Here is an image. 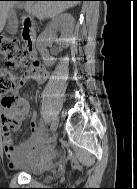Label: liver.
<instances>
[{"label": "liver", "mask_w": 137, "mask_h": 189, "mask_svg": "<svg viewBox=\"0 0 137 189\" xmlns=\"http://www.w3.org/2000/svg\"><path fill=\"white\" fill-rule=\"evenodd\" d=\"M77 1H26V11L39 19L54 18L66 9L77 5ZM16 5L14 1H0V32H2L8 12Z\"/></svg>", "instance_id": "1"}]
</instances>
